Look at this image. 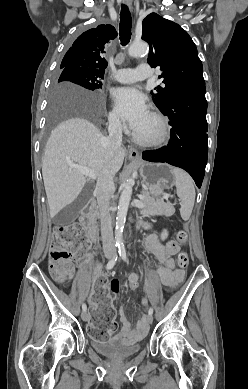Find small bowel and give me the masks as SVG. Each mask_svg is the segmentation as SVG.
Instances as JSON below:
<instances>
[{"mask_svg": "<svg viewBox=\"0 0 248 389\" xmlns=\"http://www.w3.org/2000/svg\"><path fill=\"white\" fill-rule=\"evenodd\" d=\"M145 250L153 254L156 259L161 263L162 267L156 271V274L162 284L167 287L173 288L179 285L184 278L183 271L176 269L174 265L173 256L180 249V245L177 242H167L162 244L155 232H152L145 240L144 243ZM138 277V274L132 273L128 277V282L132 281L133 278ZM112 285L108 287V290L113 294L117 295L119 293V278L114 276L112 278ZM147 299H142L141 304L145 306L147 304ZM119 320L122 324V329L119 335L115 337L126 339L132 342L141 340L147 334V318L146 315H143L137 322L136 327H133L126 310L122 307L120 309ZM108 333L113 334V331Z\"/></svg>", "mask_w": 248, "mask_h": 389, "instance_id": "obj_1", "label": "small bowel"}]
</instances>
